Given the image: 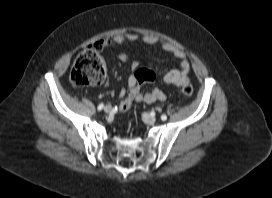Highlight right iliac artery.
<instances>
[{
  "label": "right iliac artery",
  "mask_w": 272,
  "mask_h": 198,
  "mask_svg": "<svg viewBox=\"0 0 272 198\" xmlns=\"http://www.w3.org/2000/svg\"><path fill=\"white\" fill-rule=\"evenodd\" d=\"M103 107H104V104H103V103L99 104V106H98V110H99V111H100V110H102V109H103Z\"/></svg>",
  "instance_id": "82829eb1"
}]
</instances>
